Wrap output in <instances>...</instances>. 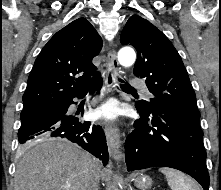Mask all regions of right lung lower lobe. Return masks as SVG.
Returning <instances> with one entry per match:
<instances>
[{"mask_svg": "<svg viewBox=\"0 0 221 190\" xmlns=\"http://www.w3.org/2000/svg\"><path fill=\"white\" fill-rule=\"evenodd\" d=\"M94 87L100 89L102 79ZM86 93L87 90L69 97L47 112L22 123L18 131L19 142L23 144L39 135L66 138L89 151L106 165L109 156L102 128L91 122L81 123L76 115L68 113L69 106L74 103L73 98H82Z\"/></svg>", "mask_w": 221, "mask_h": 190, "instance_id": "obj_1", "label": "right lung lower lobe"}]
</instances>
